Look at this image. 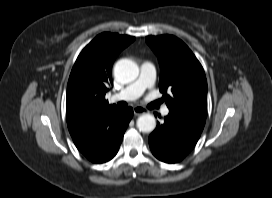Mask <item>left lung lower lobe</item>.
<instances>
[{"label": "left lung lower lobe", "mask_w": 272, "mask_h": 198, "mask_svg": "<svg viewBox=\"0 0 272 198\" xmlns=\"http://www.w3.org/2000/svg\"><path fill=\"white\" fill-rule=\"evenodd\" d=\"M205 121L206 118L169 110L164 123H157L156 129L149 136L153 155L166 163L181 161L194 148Z\"/></svg>", "instance_id": "left-lung-lower-lobe-1"}]
</instances>
